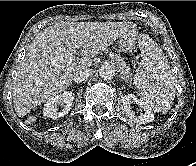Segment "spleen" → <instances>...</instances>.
I'll return each mask as SVG.
<instances>
[{
	"instance_id": "1",
	"label": "spleen",
	"mask_w": 196,
	"mask_h": 166,
	"mask_svg": "<svg viewBox=\"0 0 196 166\" xmlns=\"http://www.w3.org/2000/svg\"><path fill=\"white\" fill-rule=\"evenodd\" d=\"M143 69L135 77V84L155 112L170 110L176 94L175 75L161 47L149 38L141 42Z\"/></svg>"
}]
</instances>
